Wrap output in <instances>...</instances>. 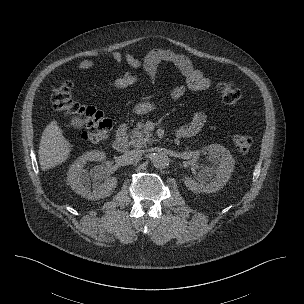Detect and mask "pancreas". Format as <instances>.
<instances>
[{
	"instance_id": "pancreas-1",
	"label": "pancreas",
	"mask_w": 304,
	"mask_h": 304,
	"mask_svg": "<svg viewBox=\"0 0 304 304\" xmlns=\"http://www.w3.org/2000/svg\"><path fill=\"white\" fill-rule=\"evenodd\" d=\"M129 144L135 148L147 147V144L153 142L151 132L146 129L144 123H138L136 127L129 133Z\"/></svg>"
}]
</instances>
